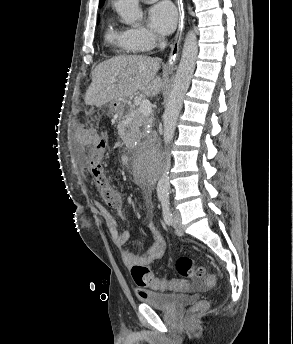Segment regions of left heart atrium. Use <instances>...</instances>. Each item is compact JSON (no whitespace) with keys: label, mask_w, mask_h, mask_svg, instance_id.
<instances>
[{"label":"left heart atrium","mask_w":293,"mask_h":344,"mask_svg":"<svg viewBox=\"0 0 293 344\" xmlns=\"http://www.w3.org/2000/svg\"><path fill=\"white\" fill-rule=\"evenodd\" d=\"M175 8L169 2H160L148 10V24L150 28L162 35L171 33L176 25Z\"/></svg>","instance_id":"left-heart-atrium-1"}]
</instances>
